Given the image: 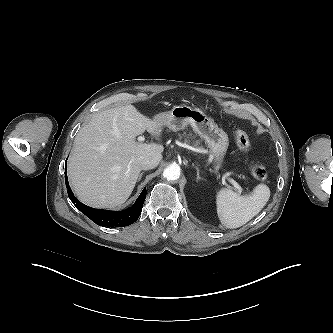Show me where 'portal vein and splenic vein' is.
<instances>
[{"mask_svg":"<svg viewBox=\"0 0 333 333\" xmlns=\"http://www.w3.org/2000/svg\"><path fill=\"white\" fill-rule=\"evenodd\" d=\"M144 140V137H138V141H143ZM227 180H228V182L235 188V190L239 193V194H241V192H242V188H241V186L234 180V179H232V178H230V177H227Z\"/></svg>","mask_w":333,"mask_h":333,"instance_id":"1","label":"portal vein and splenic vein"}]
</instances>
